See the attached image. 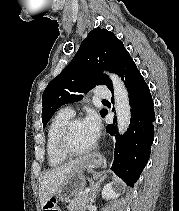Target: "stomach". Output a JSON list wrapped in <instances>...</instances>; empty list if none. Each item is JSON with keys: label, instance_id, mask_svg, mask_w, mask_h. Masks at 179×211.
<instances>
[{"label": "stomach", "instance_id": "stomach-1", "mask_svg": "<svg viewBox=\"0 0 179 211\" xmlns=\"http://www.w3.org/2000/svg\"><path fill=\"white\" fill-rule=\"evenodd\" d=\"M93 162L92 159L87 161L84 165L79 166L72 170L67 180L61 186L55 198L57 200H68L80 192L86 184V176L84 174V168Z\"/></svg>", "mask_w": 179, "mask_h": 211}]
</instances>
